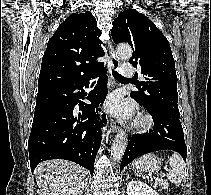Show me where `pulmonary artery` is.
Returning a JSON list of instances; mask_svg holds the SVG:
<instances>
[{
  "label": "pulmonary artery",
  "mask_w": 211,
  "mask_h": 195,
  "mask_svg": "<svg viewBox=\"0 0 211 195\" xmlns=\"http://www.w3.org/2000/svg\"><path fill=\"white\" fill-rule=\"evenodd\" d=\"M120 72H121V74H123L125 76H132L134 74V69H133L132 64L124 63L121 66Z\"/></svg>",
  "instance_id": "e3ab8cb5"
}]
</instances>
